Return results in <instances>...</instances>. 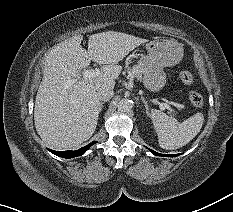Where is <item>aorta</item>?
Masks as SVG:
<instances>
[{"mask_svg":"<svg viewBox=\"0 0 233 212\" xmlns=\"http://www.w3.org/2000/svg\"><path fill=\"white\" fill-rule=\"evenodd\" d=\"M133 104L129 99H121L118 103V110L122 112H128L132 109Z\"/></svg>","mask_w":233,"mask_h":212,"instance_id":"762f6f07","label":"aorta"}]
</instances>
